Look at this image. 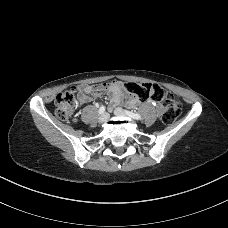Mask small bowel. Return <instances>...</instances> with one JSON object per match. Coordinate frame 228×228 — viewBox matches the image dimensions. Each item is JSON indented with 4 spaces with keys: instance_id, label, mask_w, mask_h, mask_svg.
<instances>
[{
    "instance_id": "1",
    "label": "small bowel",
    "mask_w": 228,
    "mask_h": 228,
    "mask_svg": "<svg viewBox=\"0 0 228 228\" xmlns=\"http://www.w3.org/2000/svg\"><path fill=\"white\" fill-rule=\"evenodd\" d=\"M101 93H106L110 97V106L120 104L124 98L130 106L137 105L139 100L135 96L127 95L124 91L123 83L120 81H112L104 83L100 86L83 85L78 89V100L80 103L91 101L92 96H100ZM150 100V99H149Z\"/></svg>"
}]
</instances>
